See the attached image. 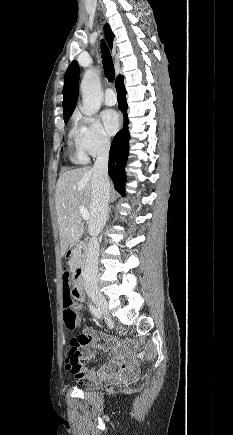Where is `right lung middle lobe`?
<instances>
[{
    "instance_id": "dd1d6c3e",
    "label": "right lung middle lobe",
    "mask_w": 233,
    "mask_h": 435,
    "mask_svg": "<svg viewBox=\"0 0 233 435\" xmlns=\"http://www.w3.org/2000/svg\"><path fill=\"white\" fill-rule=\"evenodd\" d=\"M69 118H70V116H65L64 117L65 124H67Z\"/></svg>"
}]
</instances>
